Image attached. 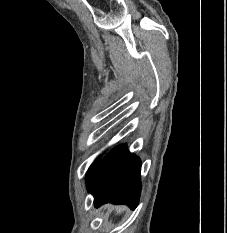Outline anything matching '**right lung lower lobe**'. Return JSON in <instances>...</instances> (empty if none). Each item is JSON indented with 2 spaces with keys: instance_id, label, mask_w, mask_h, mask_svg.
<instances>
[{
  "instance_id": "1",
  "label": "right lung lower lobe",
  "mask_w": 227,
  "mask_h": 233,
  "mask_svg": "<svg viewBox=\"0 0 227 233\" xmlns=\"http://www.w3.org/2000/svg\"><path fill=\"white\" fill-rule=\"evenodd\" d=\"M140 172V159L125 145L111 150L87 175V189L94 195L95 207L110 202L135 209L141 192Z\"/></svg>"
}]
</instances>
